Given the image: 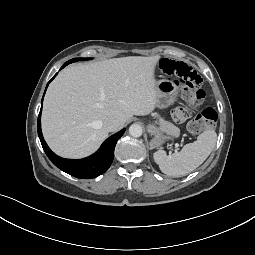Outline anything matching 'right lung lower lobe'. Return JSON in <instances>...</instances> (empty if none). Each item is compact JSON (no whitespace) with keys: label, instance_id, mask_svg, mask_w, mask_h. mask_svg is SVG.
Instances as JSON below:
<instances>
[{"label":"right lung lower lobe","instance_id":"obj_1","mask_svg":"<svg viewBox=\"0 0 255 255\" xmlns=\"http://www.w3.org/2000/svg\"><path fill=\"white\" fill-rule=\"evenodd\" d=\"M72 62H73L72 60L67 61L61 67V69ZM56 75L57 74H55L54 77ZM53 78L50 81H52ZM48 84H47V86H48ZM40 117H41V110H40V113L38 116L37 127H38V136L40 138L42 147H43L46 155L49 157V159L52 161V163L55 166H57L59 169H61L62 171L66 172L74 177L81 178V179L95 178L108 170V168L110 167V165L113 161V158H114L115 145H116L118 139L125 132V129H122L118 133L110 136L102 144L100 149L95 154H93L87 158L77 159V160L65 159V158H61V157L57 156L47 146V144L43 138L42 132H41Z\"/></svg>","mask_w":255,"mask_h":255}]
</instances>
